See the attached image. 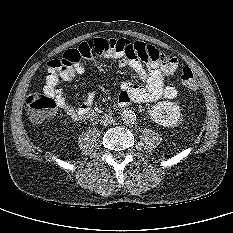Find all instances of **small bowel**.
<instances>
[{
    "label": "small bowel",
    "mask_w": 233,
    "mask_h": 233,
    "mask_svg": "<svg viewBox=\"0 0 233 233\" xmlns=\"http://www.w3.org/2000/svg\"><path fill=\"white\" fill-rule=\"evenodd\" d=\"M124 49L107 53L108 57L119 58L120 67L132 68L143 82L142 86L129 82L121 84L119 103L126 106L131 102L149 103L161 98L174 99L178 95L175 86L165 83V78L173 74L178 68V61L173 55L161 52L153 45L143 42H130L122 40ZM46 63L47 76L44 90L53 93L58 107L74 119H86L92 113L94 94L88 93L85 101L78 107L67 103L63 91L59 86L60 81L70 82L78 75L85 72L81 65L73 66L66 71H57Z\"/></svg>",
    "instance_id": "obj_1"
}]
</instances>
